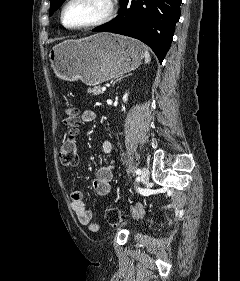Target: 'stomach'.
Instances as JSON below:
<instances>
[{
	"instance_id": "1",
	"label": "stomach",
	"mask_w": 240,
	"mask_h": 281,
	"mask_svg": "<svg viewBox=\"0 0 240 281\" xmlns=\"http://www.w3.org/2000/svg\"><path fill=\"white\" fill-rule=\"evenodd\" d=\"M144 52L135 39L105 33L59 43L49 60L58 78L93 86L136 69Z\"/></svg>"
}]
</instances>
